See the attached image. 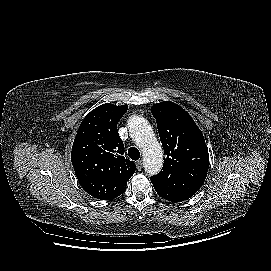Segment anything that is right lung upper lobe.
Masks as SVG:
<instances>
[{
	"label": "right lung upper lobe",
	"mask_w": 271,
	"mask_h": 271,
	"mask_svg": "<svg viewBox=\"0 0 271 271\" xmlns=\"http://www.w3.org/2000/svg\"><path fill=\"white\" fill-rule=\"evenodd\" d=\"M128 106L103 104L81 122L75 137L71 161L77 179H99L127 185L135 164L126 159L117 123Z\"/></svg>",
	"instance_id": "1"
}]
</instances>
